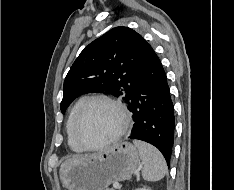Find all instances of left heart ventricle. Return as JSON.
I'll return each mask as SVG.
<instances>
[{"mask_svg": "<svg viewBox=\"0 0 234 190\" xmlns=\"http://www.w3.org/2000/svg\"><path fill=\"white\" fill-rule=\"evenodd\" d=\"M121 124L117 111L103 102L93 103L82 119L79 136L88 145H97L110 139Z\"/></svg>", "mask_w": 234, "mask_h": 190, "instance_id": "obj_1", "label": "left heart ventricle"}]
</instances>
